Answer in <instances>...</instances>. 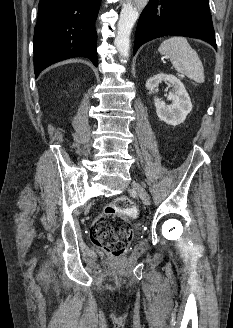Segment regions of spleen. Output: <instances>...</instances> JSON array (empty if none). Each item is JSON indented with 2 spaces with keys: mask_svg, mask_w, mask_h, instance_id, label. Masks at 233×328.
I'll return each mask as SVG.
<instances>
[{
  "mask_svg": "<svg viewBox=\"0 0 233 328\" xmlns=\"http://www.w3.org/2000/svg\"><path fill=\"white\" fill-rule=\"evenodd\" d=\"M162 55L170 61L178 73L186 75L196 83H204V69L197 52L190 46L187 39L174 36L163 41L158 48Z\"/></svg>",
  "mask_w": 233,
  "mask_h": 328,
  "instance_id": "1",
  "label": "spleen"
}]
</instances>
